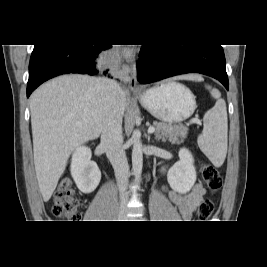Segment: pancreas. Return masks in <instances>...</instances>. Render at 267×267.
Instances as JSON below:
<instances>
[{
    "label": "pancreas",
    "mask_w": 267,
    "mask_h": 267,
    "mask_svg": "<svg viewBox=\"0 0 267 267\" xmlns=\"http://www.w3.org/2000/svg\"><path fill=\"white\" fill-rule=\"evenodd\" d=\"M155 126V138L157 140L160 139H168L172 143L183 142L186 139L188 134L187 127L166 124L162 122H153Z\"/></svg>",
    "instance_id": "1"
}]
</instances>
